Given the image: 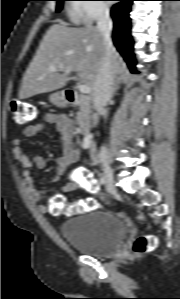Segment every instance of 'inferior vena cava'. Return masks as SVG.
Masks as SVG:
<instances>
[{
    "mask_svg": "<svg viewBox=\"0 0 180 299\" xmlns=\"http://www.w3.org/2000/svg\"><path fill=\"white\" fill-rule=\"evenodd\" d=\"M112 20L110 18L109 9L101 7L97 13V29L103 36L106 45V54L102 60L101 66L97 72L95 89L93 93L94 108L98 114L107 117V102L112 97L113 93V64H112ZM100 159H107L108 150L103 146L99 153Z\"/></svg>",
    "mask_w": 180,
    "mask_h": 299,
    "instance_id": "inferior-vena-cava-1",
    "label": "inferior vena cava"
}]
</instances>
